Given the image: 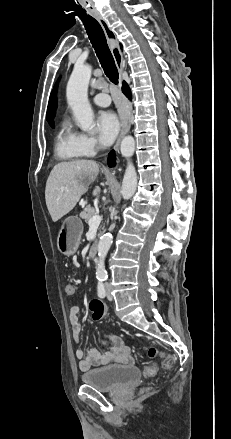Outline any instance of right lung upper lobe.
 Returning a JSON list of instances; mask_svg holds the SVG:
<instances>
[{
  "mask_svg": "<svg viewBox=\"0 0 231 439\" xmlns=\"http://www.w3.org/2000/svg\"><path fill=\"white\" fill-rule=\"evenodd\" d=\"M55 93H56V87L54 88V90L50 96L48 109H47V121L51 125V127L54 126L53 118H54L56 107H57Z\"/></svg>",
  "mask_w": 231,
  "mask_h": 439,
  "instance_id": "right-lung-upper-lobe-1",
  "label": "right lung upper lobe"
}]
</instances>
